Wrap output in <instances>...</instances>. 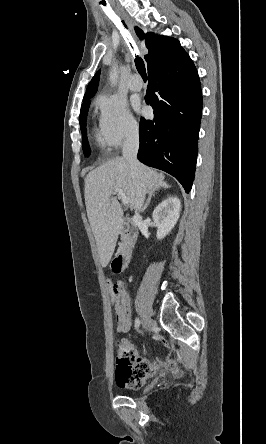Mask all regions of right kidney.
Returning <instances> with one entry per match:
<instances>
[{
	"mask_svg": "<svg viewBox=\"0 0 266 444\" xmlns=\"http://www.w3.org/2000/svg\"><path fill=\"white\" fill-rule=\"evenodd\" d=\"M181 210V202L177 197H169L162 201L153 211L152 217L158 228L156 237L161 240L174 228Z\"/></svg>",
	"mask_w": 266,
	"mask_h": 444,
	"instance_id": "obj_1",
	"label": "right kidney"
}]
</instances>
